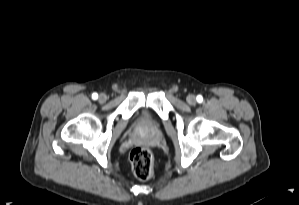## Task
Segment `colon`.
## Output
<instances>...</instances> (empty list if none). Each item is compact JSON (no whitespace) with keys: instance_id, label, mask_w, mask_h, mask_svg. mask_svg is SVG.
<instances>
[{"instance_id":"1","label":"colon","mask_w":299,"mask_h":205,"mask_svg":"<svg viewBox=\"0 0 299 205\" xmlns=\"http://www.w3.org/2000/svg\"><path fill=\"white\" fill-rule=\"evenodd\" d=\"M130 162L134 175L141 179L147 180L153 177V158L147 148H135L130 153Z\"/></svg>"}]
</instances>
